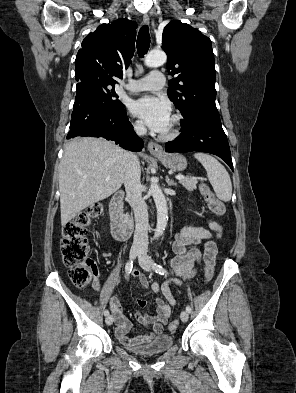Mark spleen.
<instances>
[{
	"mask_svg": "<svg viewBox=\"0 0 296 393\" xmlns=\"http://www.w3.org/2000/svg\"><path fill=\"white\" fill-rule=\"evenodd\" d=\"M194 157L205 168L217 198L225 202L230 201L232 196V183L225 167L208 154L195 153Z\"/></svg>",
	"mask_w": 296,
	"mask_h": 393,
	"instance_id": "spleen-1",
	"label": "spleen"
}]
</instances>
